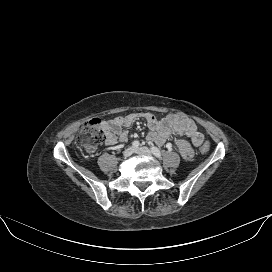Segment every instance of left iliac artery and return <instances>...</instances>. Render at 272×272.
<instances>
[{
	"label": "left iliac artery",
	"mask_w": 272,
	"mask_h": 272,
	"mask_svg": "<svg viewBox=\"0 0 272 272\" xmlns=\"http://www.w3.org/2000/svg\"><path fill=\"white\" fill-rule=\"evenodd\" d=\"M151 151L157 158H161V152L157 147H151Z\"/></svg>",
	"instance_id": "44dca946"
}]
</instances>
